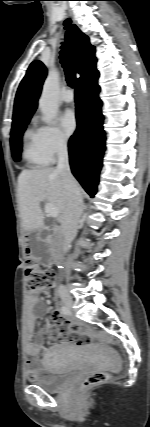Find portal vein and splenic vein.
<instances>
[{"instance_id":"portal-vein-and-splenic-vein-1","label":"portal vein and splenic vein","mask_w":150,"mask_h":427,"mask_svg":"<svg viewBox=\"0 0 150 427\" xmlns=\"http://www.w3.org/2000/svg\"><path fill=\"white\" fill-rule=\"evenodd\" d=\"M45 212H46L50 217H53V218L58 217V216H59V214H60V210H59V208H57V207H55V206H53V205H51V204H46V205H45Z\"/></svg>"}]
</instances>
